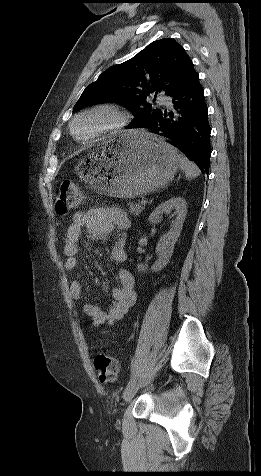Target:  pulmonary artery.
Segmentation results:
<instances>
[{
    "label": "pulmonary artery",
    "mask_w": 261,
    "mask_h": 476,
    "mask_svg": "<svg viewBox=\"0 0 261 476\" xmlns=\"http://www.w3.org/2000/svg\"><path fill=\"white\" fill-rule=\"evenodd\" d=\"M158 103L161 104V105H165V106H171V102L169 101V99H167L166 97H163V96H159L158 97Z\"/></svg>",
    "instance_id": "obj_1"
}]
</instances>
